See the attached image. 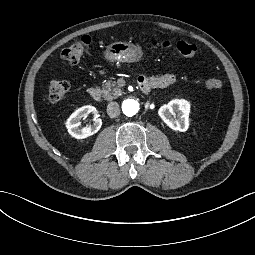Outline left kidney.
<instances>
[{
	"instance_id": "left-kidney-1",
	"label": "left kidney",
	"mask_w": 255,
	"mask_h": 255,
	"mask_svg": "<svg viewBox=\"0 0 255 255\" xmlns=\"http://www.w3.org/2000/svg\"><path fill=\"white\" fill-rule=\"evenodd\" d=\"M190 103L185 99H173L160 107L158 115L173 130L185 132L189 127Z\"/></svg>"
}]
</instances>
